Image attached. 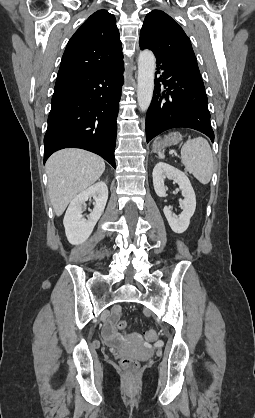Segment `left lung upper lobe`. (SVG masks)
<instances>
[{"mask_svg": "<svg viewBox=\"0 0 255 418\" xmlns=\"http://www.w3.org/2000/svg\"><path fill=\"white\" fill-rule=\"evenodd\" d=\"M139 45L142 50H152L156 58L195 56L190 39L183 29L161 10H153L146 15Z\"/></svg>", "mask_w": 255, "mask_h": 418, "instance_id": "left-lung-upper-lobe-1", "label": "left lung upper lobe"}]
</instances>
